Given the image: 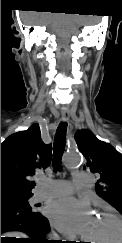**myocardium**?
<instances>
[{"mask_svg": "<svg viewBox=\"0 0 122 243\" xmlns=\"http://www.w3.org/2000/svg\"><path fill=\"white\" fill-rule=\"evenodd\" d=\"M101 216L110 218L116 226V236L110 243H122V219L115 213L110 211H101Z\"/></svg>", "mask_w": 122, "mask_h": 243, "instance_id": "f54148a6", "label": "myocardium"}]
</instances>
